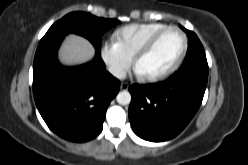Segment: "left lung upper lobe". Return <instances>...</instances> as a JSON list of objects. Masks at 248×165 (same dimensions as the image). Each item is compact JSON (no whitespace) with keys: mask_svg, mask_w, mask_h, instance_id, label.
I'll return each instance as SVG.
<instances>
[{"mask_svg":"<svg viewBox=\"0 0 248 165\" xmlns=\"http://www.w3.org/2000/svg\"><path fill=\"white\" fill-rule=\"evenodd\" d=\"M180 27L187 33L188 36V50L183 64H186L198 57H206L204 48L197 35L194 32L185 29L181 25Z\"/></svg>","mask_w":248,"mask_h":165,"instance_id":"left-lung-upper-lobe-1","label":"left lung upper lobe"}]
</instances>
